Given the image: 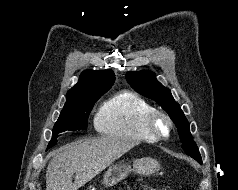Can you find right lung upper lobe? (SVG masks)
<instances>
[{
  "label": "right lung upper lobe",
  "mask_w": 238,
  "mask_h": 190,
  "mask_svg": "<svg viewBox=\"0 0 238 190\" xmlns=\"http://www.w3.org/2000/svg\"><path fill=\"white\" fill-rule=\"evenodd\" d=\"M114 83V73L111 70H86L80 75L79 81L67 92L65 105H70L83 96L107 92Z\"/></svg>",
  "instance_id": "1"
}]
</instances>
